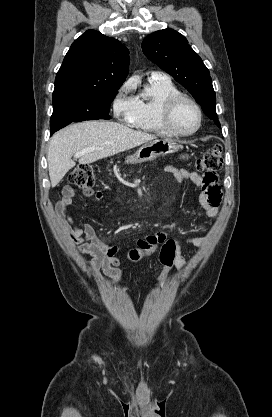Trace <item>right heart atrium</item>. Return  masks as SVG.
Instances as JSON below:
<instances>
[{
    "instance_id": "1",
    "label": "right heart atrium",
    "mask_w": 272,
    "mask_h": 417,
    "mask_svg": "<svg viewBox=\"0 0 272 417\" xmlns=\"http://www.w3.org/2000/svg\"><path fill=\"white\" fill-rule=\"evenodd\" d=\"M132 84L125 82L115 94L112 101L114 115L121 121L129 122L135 109L134 98L130 96Z\"/></svg>"
}]
</instances>
